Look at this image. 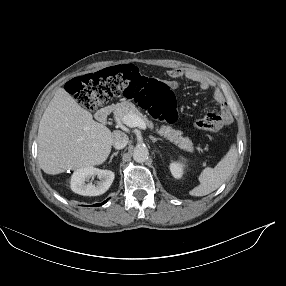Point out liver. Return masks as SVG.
Instances as JSON below:
<instances>
[{
  "label": "liver",
  "instance_id": "1",
  "mask_svg": "<svg viewBox=\"0 0 286 286\" xmlns=\"http://www.w3.org/2000/svg\"><path fill=\"white\" fill-rule=\"evenodd\" d=\"M113 133L93 120L64 89L56 90L38 129V161L47 174L100 165L108 158Z\"/></svg>",
  "mask_w": 286,
  "mask_h": 286
}]
</instances>
